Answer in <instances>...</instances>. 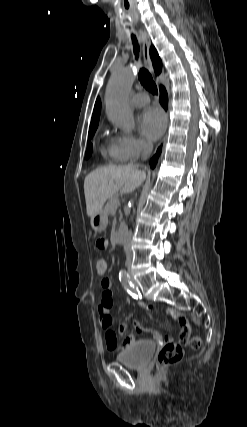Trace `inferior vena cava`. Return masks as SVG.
I'll return each instance as SVG.
<instances>
[{"label": "inferior vena cava", "mask_w": 247, "mask_h": 427, "mask_svg": "<svg viewBox=\"0 0 247 427\" xmlns=\"http://www.w3.org/2000/svg\"><path fill=\"white\" fill-rule=\"evenodd\" d=\"M152 150L153 144L151 142H142V160H146L152 153ZM131 237L132 233L131 231H129L124 244V250L126 254V266L128 269H130L132 262Z\"/></svg>", "instance_id": "1"}]
</instances>
